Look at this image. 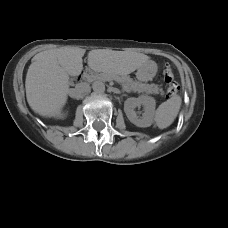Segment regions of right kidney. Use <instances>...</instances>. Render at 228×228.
Wrapping results in <instances>:
<instances>
[{
    "mask_svg": "<svg viewBox=\"0 0 228 228\" xmlns=\"http://www.w3.org/2000/svg\"><path fill=\"white\" fill-rule=\"evenodd\" d=\"M63 116L64 115L63 114H60V113L58 115H56L57 118H63Z\"/></svg>",
    "mask_w": 228,
    "mask_h": 228,
    "instance_id": "right-kidney-1",
    "label": "right kidney"
}]
</instances>
